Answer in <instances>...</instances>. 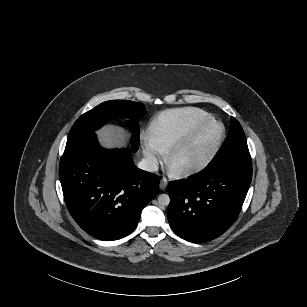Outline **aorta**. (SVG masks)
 Returning <instances> with one entry per match:
<instances>
[{
	"label": "aorta",
	"mask_w": 307,
	"mask_h": 307,
	"mask_svg": "<svg viewBox=\"0 0 307 307\" xmlns=\"http://www.w3.org/2000/svg\"><path fill=\"white\" fill-rule=\"evenodd\" d=\"M169 202H170V198L167 194H160L158 196V204L162 206H166L169 204Z\"/></svg>",
	"instance_id": "762f6f07"
}]
</instances>
